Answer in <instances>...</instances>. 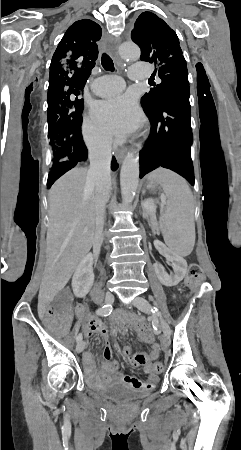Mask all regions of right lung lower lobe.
<instances>
[{"instance_id":"98d812e1","label":"right lung lower lobe","mask_w":241,"mask_h":450,"mask_svg":"<svg viewBox=\"0 0 241 450\" xmlns=\"http://www.w3.org/2000/svg\"><path fill=\"white\" fill-rule=\"evenodd\" d=\"M62 134L69 141L72 148V157L66 161L52 164V168L48 175L47 188H50L61 175L75 167L78 163L86 162L88 160V151L81 134V124L64 128ZM111 168L112 170L118 168V164L114 157L112 158Z\"/></svg>"}]
</instances>
